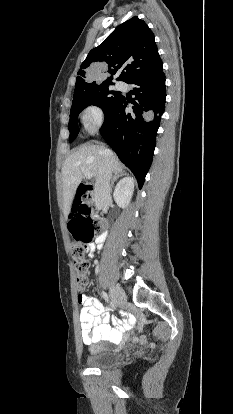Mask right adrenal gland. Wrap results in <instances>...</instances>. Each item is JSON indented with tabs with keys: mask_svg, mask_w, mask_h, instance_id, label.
Masks as SVG:
<instances>
[{
	"mask_svg": "<svg viewBox=\"0 0 233 414\" xmlns=\"http://www.w3.org/2000/svg\"><path fill=\"white\" fill-rule=\"evenodd\" d=\"M125 175H126V173L124 171H121V172H118V173L114 174V176L112 178V181H111V185H110V191L111 192H112V189H113V186H114V183L116 182V180L118 178L122 177V176H125Z\"/></svg>",
	"mask_w": 233,
	"mask_h": 414,
	"instance_id": "1",
	"label": "right adrenal gland"
}]
</instances>
